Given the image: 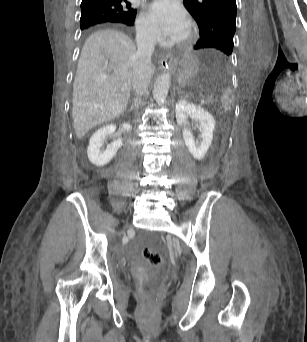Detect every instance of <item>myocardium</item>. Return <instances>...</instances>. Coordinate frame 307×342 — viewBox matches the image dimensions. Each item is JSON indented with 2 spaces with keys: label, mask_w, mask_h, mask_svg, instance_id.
Segmentation results:
<instances>
[{
  "label": "myocardium",
  "mask_w": 307,
  "mask_h": 342,
  "mask_svg": "<svg viewBox=\"0 0 307 342\" xmlns=\"http://www.w3.org/2000/svg\"><path fill=\"white\" fill-rule=\"evenodd\" d=\"M191 40H192V38H191V36H190V37L187 39V41H186V45L190 44Z\"/></svg>",
  "instance_id": "myocardium-1"
}]
</instances>
